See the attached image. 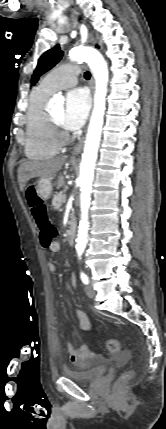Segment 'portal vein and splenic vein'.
I'll list each match as a JSON object with an SVG mask.
<instances>
[{"mask_svg":"<svg viewBox=\"0 0 166 429\" xmlns=\"http://www.w3.org/2000/svg\"><path fill=\"white\" fill-rule=\"evenodd\" d=\"M65 200H66V197L64 196V197H63V202H65Z\"/></svg>","mask_w":166,"mask_h":429,"instance_id":"portal-vein-and-splenic-vein-1","label":"portal vein and splenic vein"}]
</instances>
